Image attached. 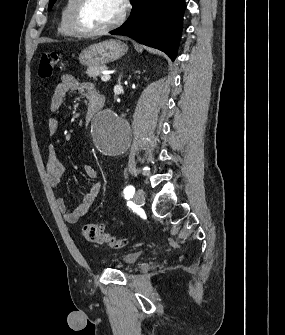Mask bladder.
<instances>
[{
    "label": "bladder",
    "instance_id": "31cf9c89",
    "mask_svg": "<svg viewBox=\"0 0 285 335\" xmlns=\"http://www.w3.org/2000/svg\"><path fill=\"white\" fill-rule=\"evenodd\" d=\"M143 255V252L140 250L136 251H127L123 254V256L118 258H129V265H137V263L140 262L141 256Z\"/></svg>",
    "mask_w": 285,
    "mask_h": 335
}]
</instances>
